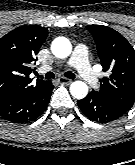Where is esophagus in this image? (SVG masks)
I'll list each match as a JSON object with an SVG mask.
<instances>
[{
  "label": "esophagus",
  "mask_w": 135,
  "mask_h": 165,
  "mask_svg": "<svg viewBox=\"0 0 135 165\" xmlns=\"http://www.w3.org/2000/svg\"><path fill=\"white\" fill-rule=\"evenodd\" d=\"M58 81L61 83V84H70V83H72V80H70V79H68V78H65V77H60L59 79H58Z\"/></svg>",
  "instance_id": "esophagus-1"
}]
</instances>
